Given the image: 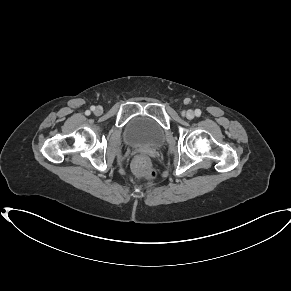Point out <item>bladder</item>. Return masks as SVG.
I'll list each match as a JSON object with an SVG mask.
<instances>
[{
	"mask_svg": "<svg viewBox=\"0 0 291 291\" xmlns=\"http://www.w3.org/2000/svg\"><path fill=\"white\" fill-rule=\"evenodd\" d=\"M164 138V129L147 117H137L131 120L124 133V140L129 145L157 147L162 144Z\"/></svg>",
	"mask_w": 291,
	"mask_h": 291,
	"instance_id": "obj_1",
	"label": "bladder"
}]
</instances>
